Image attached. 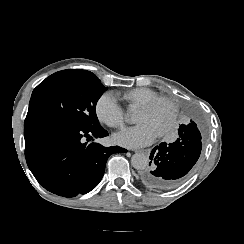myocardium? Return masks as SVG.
<instances>
[{
	"mask_svg": "<svg viewBox=\"0 0 244 244\" xmlns=\"http://www.w3.org/2000/svg\"><path fill=\"white\" fill-rule=\"evenodd\" d=\"M158 103H162V105L169 106V123H168V127L161 134V136H164L170 130L172 122H173V118H174L175 106H174V103H172V101H168V99H163L161 97H155L151 101H148L147 104L140 105L136 109L143 110V111H148L150 108L153 107V105H156Z\"/></svg>",
	"mask_w": 244,
	"mask_h": 244,
	"instance_id": "f54148a6",
	"label": "myocardium"
}]
</instances>
